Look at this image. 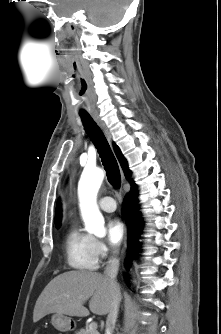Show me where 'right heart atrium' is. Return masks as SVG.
<instances>
[{
  "instance_id": "1",
  "label": "right heart atrium",
  "mask_w": 221,
  "mask_h": 334,
  "mask_svg": "<svg viewBox=\"0 0 221 334\" xmlns=\"http://www.w3.org/2000/svg\"><path fill=\"white\" fill-rule=\"evenodd\" d=\"M95 249L99 258H106L111 252L103 241L97 239H95Z\"/></svg>"
}]
</instances>
